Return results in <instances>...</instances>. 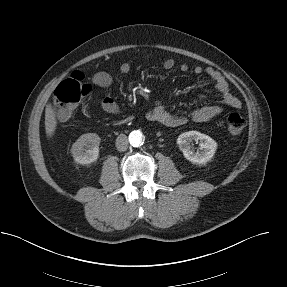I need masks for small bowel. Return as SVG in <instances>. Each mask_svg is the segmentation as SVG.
<instances>
[{
	"label": "small bowel",
	"instance_id": "c3829d8e",
	"mask_svg": "<svg viewBox=\"0 0 287 287\" xmlns=\"http://www.w3.org/2000/svg\"><path fill=\"white\" fill-rule=\"evenodd\" d=\"M176 66L175 60L167 58L163 62V67L166 70H171ZM181 72H188L190 67L186 63H181L178 66ZM120 72L127 74L131 70V65L124 62L120 65ZM192 72L196 75L205 74L214 84L215 89L221 95V99L217 102L207 103L202 107L191 111L189 114H174L166 109V107L157 101L151 111L147 114V119L157 122L168 127H175L186 123L189 119L195 122H205L219 115L224 107L232 109H240L241 101L231 92L225 77L212 67L203 68L194 66ZM92 83L100 88H107L112 84V77L105 71H99L92 75ZM102 109L109 114H117L119 106L111 97H105L101 102ZM65 121V120H61Z\"/></svg>",
	"mask_w": 287,
	"mask_h": 287
}]
</instances>
